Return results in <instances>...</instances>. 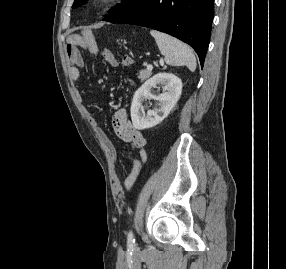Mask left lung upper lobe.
Listing matches in <instances>:
<instances>
[{
  "label": "left lung upper lobe",
  "instance_id": "5c2ea615",
  "mask_svg": "<svg viewBox=\"0 0 286 269\" xmlns=\"http://www.w3.org/2000/svg\"><path fill=\"white\" fill-rule=\"evenodd\" d=\"M87 0H75L72 8H76L86 2ZM123 3L120 6L113 7L109 13L110 15L103 20L111 23H116L119 20L131 15L135 11L144 6L147 0H122Z\"/></svg>",
  "mask_w": 286,
  "mask_h": 269
}]
</instances>
